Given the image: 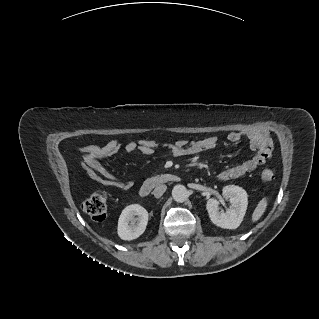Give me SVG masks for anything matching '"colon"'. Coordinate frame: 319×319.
<instances>
[{"label": "colon", "mask_w": 319, "mask_h": 319, "mask_svg": "<svg viewBox=\"0 0 319 319\" xmlns=\"http://www.w3.org/2000/svg\"><path fill=\"white\" fill-rule=\"evenodd\" d=\"M272 148V142L267 139L257 149L265 157H270ZM261 178L266 182L272 181L274 173L269 169H265L261 173ZM82 209L93 220L102 221L105 219L107 213V195L102 192L91 195L83 202Z\"/></svg>", "instance_id": "1"}]
</instances>
